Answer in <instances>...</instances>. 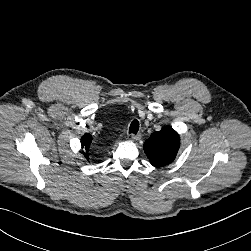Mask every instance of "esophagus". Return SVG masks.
<instances>
[{
  "label": "esophagus",
  "instance_id": "esophagus-1",
  "mask_svg": "<svg viewBox=\"0 0 251 251\" xmlns=\"http://www.w3.org/2000/svg\"><path fill=\"white\" fill-rule=\"evenodd\" d=\"M132 139L134 140V141H137V140H139L140 139V134H132Z\"/></svg>",
  "mask_w": 251,
  "mask_h": 251
}]
</instances>
